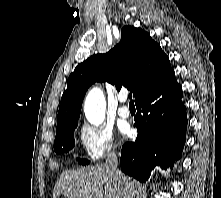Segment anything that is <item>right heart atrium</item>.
Here are the masks:
<instances>
[{"instance_id": "d8ad5b80", "label": "right heart atrium", "mask_w": 221, "mask_h": 198, "mask_svg": "<svg viewBox=\"0 0 221 198\" xmlns=\"http://www.w3.org/2000/svg\"><path fill=\"white\" fill-rule=\"evenodd\" d=\"M79 141L86 157L91 161L113 156L117 152L112 132L101 126L83 125L79 131Z\"/></svg>"}]
</instances>
